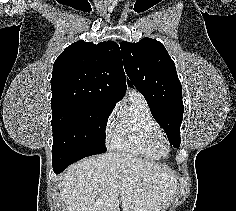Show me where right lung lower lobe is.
Instances as JSON below:
<instances>
[{"mask_svg":"<svg viewBox=\"0 0 236 211\" xmlns=\"http://www.w3.org/2000/svg\"><path fill=\"white\" fill-rule=\"evenodd\" d=\"M100 153L101 152L86 148H74V149H63L59 151H53L52 152L53 170L56 174H59L73 162H76L84 157Z\"/></svg>","mask_w":236,"mask_h":211,"instance_id":"right-lung-lower-lobe-1","label":"right lung lower lobe"}]
</instances>
